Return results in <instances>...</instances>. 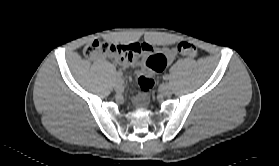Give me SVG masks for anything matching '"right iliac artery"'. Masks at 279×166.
<instances>
[{"mask_svg": "<svg viewBox=\"0 0 279 166\" xmlns=\"http://www.w3.org/2000/svg\"><path fill=\"white\" fill-rule=\"evenodd\" d=\"M116 76H117V78H118L119 80H121L123 74H122V72L118 71L117 74H116Z\"/></svg>", "mask_w": 279, "mask_h": 166, "instance_id": "right-iliac-artery-1", "label": "right iliac artery"}]
</instances>
